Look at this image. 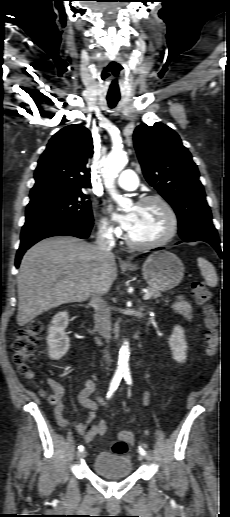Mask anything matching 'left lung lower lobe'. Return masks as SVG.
I'll return each mask as SVG.
<instances>
[{
    "mask_svg": "<svg viewBox=\"0 0 230 517\" xmlns=\"http://www.w3.org/2000/svg\"><path fill=\"white\" fill-rule=\"evenodd\" d=\"M185 242H195V241H204L209 243L212 247L215 248V250L218 252V254L222 257V251L219 245V238L216 229H208L203 231L202 233L198 234L195 237L191 238H182ZM157 249H163V248H157Z\"/></svg>",
    "mask_w": 230,
    "mask_h": 517,
    "instance_id": "left-lung-lower-lobe-1",
    "label": "left lung lower lobe"
}]
</instances>
